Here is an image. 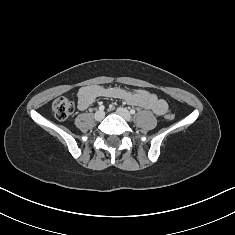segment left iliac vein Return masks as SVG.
Returning a JSON list of instances; mask_svg holds the SVG:
<instances>
[{
	"label": "left iliac vein",
	"mask_w": 235,
	"mask_h": 235,
	"mask_svg": "<svg viewBox=\"0 0 235 235\" xmlns=\"http://www.w3.org/2000/svg\"><path fill=\"white\" fill-rule=\"evenodd\" d=\"M116 112L121 117H123L126 121H128V122L131 121L132 117L127 109L119 107V108H117Z\"/></svg>",
	"instance_id": "obj_1"
}]
</instances>
